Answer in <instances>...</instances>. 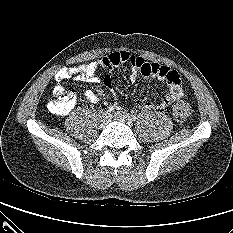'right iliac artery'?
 I'll use <instances>...</instances> for the list:
<instances>
[{"label": "right iliac artery", "mask_w": 233, "mask_h": 233, "mask_svg": "<svg viewBox=\"0 0 233 233\" xmlns=\"http://www.w3.org/2000/svg\"><path fill=\"white\" fill-rule=\"evenodd\" d=\"M114 111V107L113 106H109L108 108H107V113H111V112H113Z\"/></svg>", "instance_id": "right-iliac-artery-1"}]
</instances>
